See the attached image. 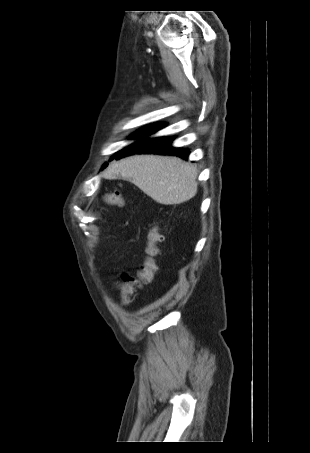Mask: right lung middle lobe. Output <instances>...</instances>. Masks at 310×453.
Wrapping results in <instances>:
<instances>
[{
    "instance_id": "dd1d6c3e",
    "label": "right lung middle lobe",
    "mask_w": 310,
    "mask_h": 453,
    "mask_svg": "<svg viewBox=\"0 0 310 453\" xmlns=\"http://www.w3.org/2000/svg\"><path fill=\"white\" fill-rule=\"evenodd\" d=\"M146 129H147V127L143 128V129H141V130H139L136 134L133 135L132 139L137 138V137H138L139 135H141ZM121 151H122V150H121ZM121 151H120V152H121ZM120 152L116 153V154L114 155V157H116ZM105 166H106V165H105ZM105 166H104V167H105Z\"/></svg>"
}]
</instances>
